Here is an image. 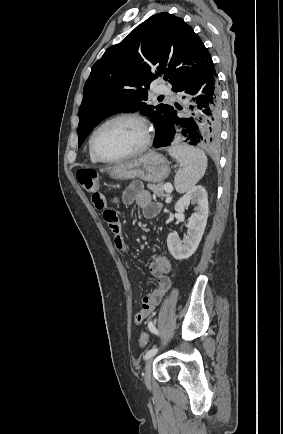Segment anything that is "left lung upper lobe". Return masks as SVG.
Segmentation results:
<instances>
[{
  "mask_svg": "<svg viewBox=\"0 0 283 434\" xmlns=\"http://www.w3.org/2000/svg\"><path fill=\"white\" fill-rule=\"evenodd\" d=\"M210 59L201 38L183 19L167 12L151 16L92 66L79 109L78 146L105 118L137 110L153 119L156 141L174 109L147 104L151 82L161 77L175 90Z\"/></svg>",
  "mask_w": 283,
  "mask_h": 434,
  "instance_id": "5c2ea615",
  "label": "left lung upper lobe"
}]
</instances>
